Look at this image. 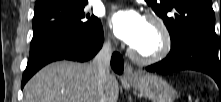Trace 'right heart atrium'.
Segmentation results:
<instances>
[{
  "label": "right heart atrium",
  "mask_w": 221,
  "mask_h": 102,
  "mask_svg": "<svg viewBox=\"0 0 221 102\" xmlns=\"http://www.w3.org/2000/svg\"><path fill=\"white\" fill-rule=\"evenodd\" d=\"M105 43H106V45H110L112 43V36L111 35L106 36Z\"/></svg>",
  "instance_id": "right-heart-atrium-1"
}]
</instances>
